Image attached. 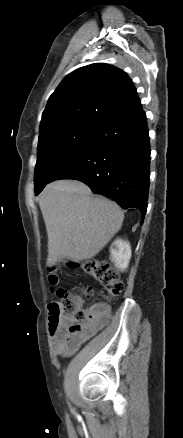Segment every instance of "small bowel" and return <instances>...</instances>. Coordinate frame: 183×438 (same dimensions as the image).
<instances>
[{"mask_svg":"<svg viewBox=\"0 0 183 438\" xmlns=\"http://www.w3.org/2000/svg\"><path fill=\"white\" fill-rule=\"evenodd\" d=\"M111 318V309L107 304L97 303L87 311V320L78 333H71L68 321H62L52 332L53 349L57 355H69L76 351L84 342L103 329Z\"/></svg>","mask_w":183,"mask_h":438,"instance_id":"c3829d8e","label":"small bowel"}]
</instances>
